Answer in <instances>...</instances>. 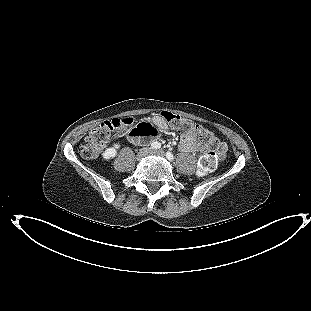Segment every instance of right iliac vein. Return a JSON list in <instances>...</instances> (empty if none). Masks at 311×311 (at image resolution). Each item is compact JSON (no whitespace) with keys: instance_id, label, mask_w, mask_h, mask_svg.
I'll return each mask as SVG.
<instances>
[{"instance_id":"63e3f726","label":"right iliac vein","mask_w":311,"mask_h":311,"mask_svg":"<svg viewBox=\"0 0 311 311\" xmlns=\"http://www.w3.org/2000/svg\"><path fill=\"white\" fill-rule=\"evenodd\" d=\"M148 153H150V149L149 148H142L136 156V159L138 161L142 160L144 157H146L148 155Z\"/></svg>"}]
</instances>
